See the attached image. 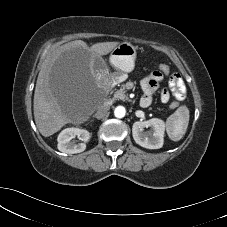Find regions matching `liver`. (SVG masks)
Segmentation results:
<instances>
[{
  "label": "liver",
  "mask_w": 227,
  "mask_h": 227,
  "mask_svg": "<svg viewBox=\"0 0 227 227\" xmlns=\"http://www.w3.org/2000/svg\"><path fill=\"white\" fill-rule=\"evenodd\" d=\"M119 42L89 47L76 40L51 51L42 64L34 93V118L39 132L49 137L73 121L71 100H78L97 83L94 58L107 55Z\"/></svg>",
  "instance_id": "1"
}]
</instances>
